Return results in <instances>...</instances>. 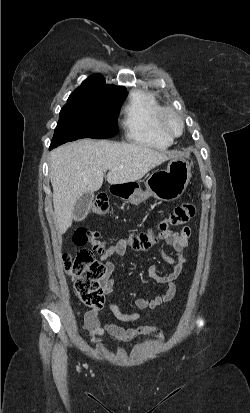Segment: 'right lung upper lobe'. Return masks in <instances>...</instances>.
Segmentation results:
<instances>
[{"mask_svg": "<svg viewBox=\"0 0 250 413\" xmlns=\"http://www.w3.org/2000/svg\"><path fill=\"white\" fill-rule=\"evenodd\" d=\"M76 90L103 93L113 96H126V88L114 85H106L102 75L95 74L85 80Z\"/></svg>", "mask_w": 250, "mask_h": 413, "instance_id": "right-lung-upper-lobe-1", "label": "right lung upper lobe"}]
</instances>
